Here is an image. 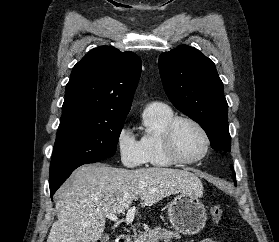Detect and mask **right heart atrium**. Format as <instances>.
Here are the masks:
<instances>
[{"label":"right heart atrium","instance_id":"1","mask_svg":"<svg viewBox=\"0 0 279 242\" xmlns=\"http://www.w3.org/2000/svg\"><path fill=\"white\" fill-rule=\"evenodd\" d=\"M116 146L124 166L134 168L146 163L140 142L126 125L122 126L117 134Z\"/></svg>","mask_w":279,"mask_h":242}]
</instances>
